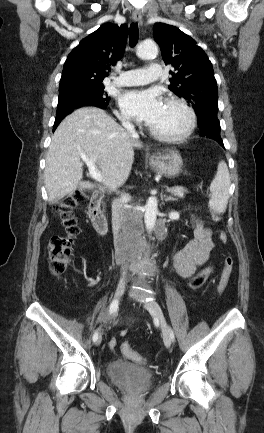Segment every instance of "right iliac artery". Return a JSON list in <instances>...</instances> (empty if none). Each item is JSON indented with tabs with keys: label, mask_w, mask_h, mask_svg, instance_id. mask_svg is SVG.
Here are the masks:
<instances>
[{
	"label": "right iliac artery",
	"mask_w": 264,
	"mask_h": 433,
	"mask_svg": "<svg viewBox=\"0 0 264 433\" xmlns=\"http://www.w3.org/2000/svg\"><path fill=\"white\" fill-rule=\"evenodd\" d=\"M118 309V301L114 300L109 307L108 313L111 315L112 313L116 312ZM93 341L96 342V340L98 339V331H96L93 335Z\"/></svg>",
	"instance_id": "obj_1"
}]
</instances>
